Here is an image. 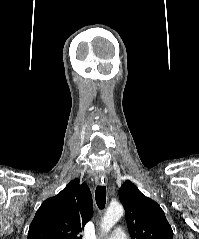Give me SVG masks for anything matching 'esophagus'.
Wrapping results in <instances>:
<instances>
[{
  "instance_id": "34e87169",
  "label": "esophagus",
  "mask_w": 199,
  "mask_h": 239,
  "mask_svg": "<svg viewBox=\"0 0 199 239\" xmlns=\"http://www.w3.org/2000/svg\"><path fill=\"white\" fill-rule=\"evenodd\" d=\"M100 184L105 185L107 183V177L106 175H100L98 178Z\"/></svg>"
}]
</instances>
